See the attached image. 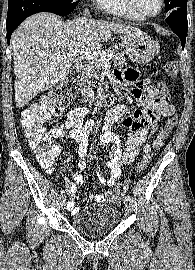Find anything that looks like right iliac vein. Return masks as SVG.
Returning a JSON list of instances; mask_svg holds the SVG:
<instances>
[{
    "label": "right iliac vein",
    "instance_id": "obj_1",
    "mask_svg": "<svg viewBox=\"0 0 195 270\" xmlns=\"http://www.w3.org/2000/svg\"><path fill=\"white\" fill-rule=\"evenodd\" d=\"M60 206L61 208H64L66 206V197H62L60 199Z\"/></svg>",
    "mask_w": 195,
    "mask_h": 270
}]
</instances>
